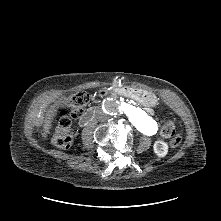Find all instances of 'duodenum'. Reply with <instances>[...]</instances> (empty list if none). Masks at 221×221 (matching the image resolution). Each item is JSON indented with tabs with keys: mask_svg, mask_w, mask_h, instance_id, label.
<instances>
[{
	"mask_svg": "<svg viewBox=\"0 0 221 221\" xmlns=\"http://www.w3.org/2000/svg\"><path fill=\"white\" fill-rule=\"evenodd\" d=\"M116 92L117 94H120V95H127V94H130L132 91L128 87H122V88H118ZM96 97L98 99H108L110 97V90L108 88H98L96 90ZM97 111L98 109L94 107L88 109L86 113L81 117L80 125L82 127L88 125L97 114Z\"/></svg>",
	"mask_w": 221,
	"mask_h": 221,
	"instance_id": "duodenum-1",
	"label": "duodenum"
}]
</instances>
